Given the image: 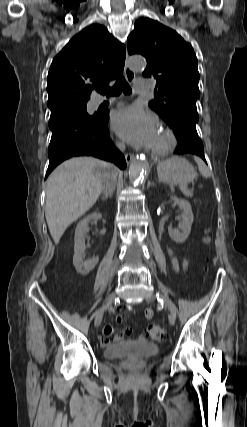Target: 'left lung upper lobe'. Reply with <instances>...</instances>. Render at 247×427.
<instances>
[{"label":"left lung upper lobe","instance_id":"1","mask_svg":"<svg viewBox=\"0 0 247 427\" xmlns=\"http://www.w3.org/2000/svg\"><path fill=\"white\" fill-rule=\"evenodd\" d=\"M127 46L130 55L146 58L143 76L156 79L159 96L149 102L150 108L168 125L180 119L196 124L199 72L192 46L174 30L149 18L135 22Z\"/></svg>","mask_w":247,"mask_h":427}]
</instances>
